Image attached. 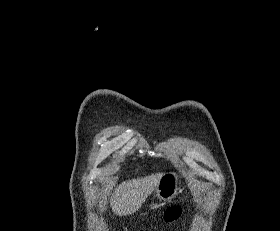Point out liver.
<instances>
[{
    "instance_id": "obj_1",
    "label": "liver",
    "mask_w": 280,
    "mask_h": 231,
    "mask_svg": "<svg viewBox=\"0 0 280 231\" xmlns=\"http://www.w3.org/2000/svg\"><path fill=\"white\" fill-rule=\"evenodd\" d=\"M163 173H153L146 177L137 179H127L122 181L115 189L113 197L110 199L112 211L117 215H129L135 213L146 201L148 195L152 193Z\"/></svg>"
}]
</instances>
